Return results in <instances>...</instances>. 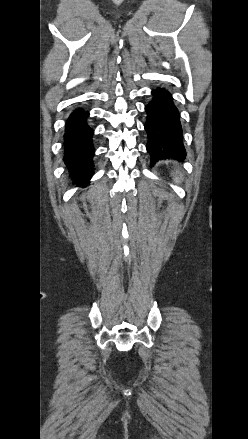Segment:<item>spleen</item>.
I'll return each instance as SVG.
<instances>
[{
  "label": "spleen",
  "mask_w": 248,
  "mask_h": 439,
  "mask_svg": "<svg viewBox=\"0 0 248 439\" xmlns=\"http://www.w3.org/2000/svg\"><path fill=\"white\" fill-rule=\"evenodd\" d=\"M181 180H182V176H181V175H180V176H175V177H174V181H175L177 184L181 183Z\"/></svg>",
  "instance_id": "obj_1"
}]
</instances>
